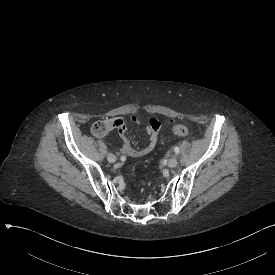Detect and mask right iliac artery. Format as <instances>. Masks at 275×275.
I'll list each match as a JSON object with an SVG mask.
<instances>
[{
    "label": "right iliac artery",
    "mask_w": 275,
    "mask_h": 275,
    "mask_svg": "<svg viewBox=\"0 0 275 275\" xmlns=\"http://www.w3.org/2000/svg\"><path fill=\"white\" fill-rule=\"evenodd\" d=\"M122 161H125L126 160V157H124V156H121V158H120Z\"/></svg>",
    "instance_id": "82829eb1"
}]
</instances>
